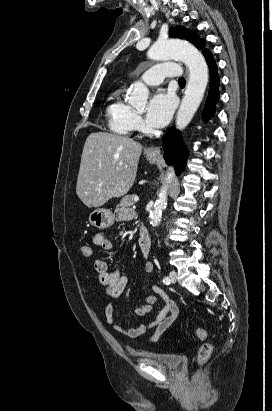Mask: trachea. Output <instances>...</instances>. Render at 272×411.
<instances>
[{"instance_id":"3493384b","label":"trachea","mask_w":272,"mask_h":411,"mask_svg":"<svg viewBox=\"0 0 272 411\" xmlns=\"http://www.w3.org/2000/svg\"><path fill=\"white\" fill-rule=\"evenodd\" d=\"M179 84H185V79L183 77L178 79Z\"/></svg>"}]
</instances>
